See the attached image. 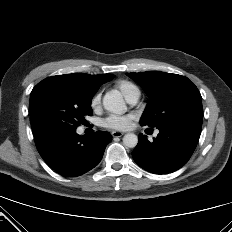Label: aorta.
Returning a JSON list of instances; mask_svg holds the SVG:
<instances>
[{
    "instance_id": "aorta-1",
    "label": "aorta",
    "mask_w": 232,
    "mask_h": 232,
    "mask_svg": "<svg viewBox=\"0 0 232 232\" xmlns=\"http://www.w3.org/2000/svg\"><path fill=\"white\" fill-rule=\"evenodd\" d=\"M104 109L115 113L124 114L127 111V107L122 95L117 91H111L105 94L103 98ZM138 143V137L134 133H127L123 137V144L126 147L134 148Z\"/></svg>"
}]
</instances>
